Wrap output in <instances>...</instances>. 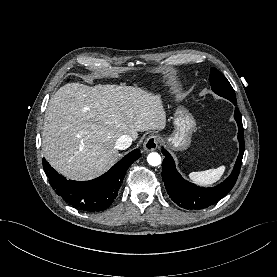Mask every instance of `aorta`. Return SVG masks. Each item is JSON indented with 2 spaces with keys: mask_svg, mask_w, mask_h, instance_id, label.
I'll list each match as a JSON object with an SVG mask.
<instances>
[{
  "mask_svg": "<svg viewBox=\"0 0 277 277\" xmlns=\"http://www.w3.org/2000/svg\"><path fill=\"white\" fill-rule=\"evenodd\" d=\"M147 161L151 166H158L161 164V156L156 152H152L148 155Z\"/></svg>",
  "mask_w": 277,
  "mask_h": 277,
  "instance_id": "762f6f07",
  "label": "aorta"
}]
</instances>
